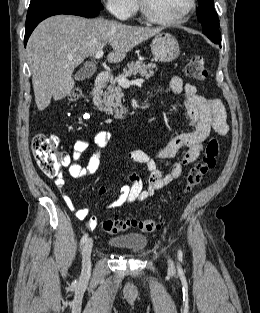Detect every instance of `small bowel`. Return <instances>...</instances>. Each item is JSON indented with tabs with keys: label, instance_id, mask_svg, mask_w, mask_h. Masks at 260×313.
I'll list each match as a JSON object with an SVG mask.
<instances>
[{
	"label": "small bowel",
	"instance_id": "1",
	"mask_svg": "<svg viewBox=\"0 0 260 313\" xmlns=\"http://www.w3.org/2000/svg\"><path fill=\"white\" fill-rule=\"evenodd\" d=\"M169 88L173 94H182L183 106L190 119V130L176 135L169 143L159 148L157 158L167 160L175 157L179 151L184 150L181 160L174 163L170 171L164 174L157 166L156 161L145 151L133 149L123 157L125 160L144 165L147 178L144 180L136 173L125 175L126 183L120 187L119 196L111 202L110 207L116 208L124 204L144 201L150 198L156 191L168 186L179 179L184 166L196 161L203 151V143L208 138L211 130L220 136L228 133L227 114L223 103L219 99L206 98L197 93L195 85L186 83L178 76L170 80ZM110 132L98 129L94 132V141L98 149L90 157L86 165L78 163L82 153L86 150V139H78L72 147L70 154L66 156V168L73 178H83L95 174L101 164L102 152L110 140ZM67 208L79 220H86L91 229L97 227L96 217H88L87 209L77 208L68 195L64 181L61 178L55 180ZM106 193L105 187H100L99 195Z\"/></svg>",
	"mask_w": 260,
	"mask_h": 313
}]
</instances>
